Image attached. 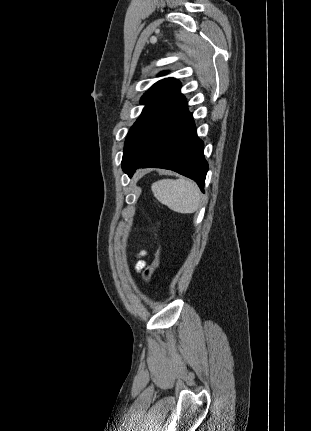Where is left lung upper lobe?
Instances as JSON below:
<instances>
[{
	"label": "left lung upper lobe",
	"mask_w": 311,
	"mask_h": 431,
	"mask_svg": "<svg viewBox=\"0 0 311 431\" xmlns=\"http://www.w3.org/2000/svg\"><path fill=\"white\" fill-rule=\"evenodd\" d=\"M163 72L162 74H166ZM181 83L174 78H166L155 83L141 98V103L146 106L141 116L131 127L125 141L124 151H126L135 140L139 132L147 122L178 92Z\"/></svg>",
	"instance_id": "obj_1"
}]
</instances>
